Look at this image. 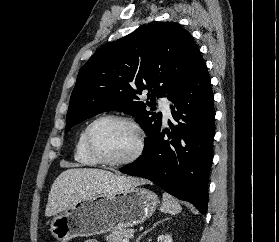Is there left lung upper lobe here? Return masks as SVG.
Masks as SVG:
<instances>
[{
  "label": "left lung upper lobe",
  "mask_w": 279,
  "mask_h": 242,
  "mask_svg": "<svg viewBox=\"0 0 279 242\" xmlns=\"http://www.w3.org/2000/svg\"><path fill=\"white\" fill-rule=\"evenodd\" d=\"M199 52L178 23L143 27L97 50L81 68L70 97L66 132L105 111L134 116L147 135L146 152L161 129V113L147 111L156 96L173 100ZM146 92L151 102L139 101Z\"/></svg>",
  "instance_id": "1"
}]
</instances>
